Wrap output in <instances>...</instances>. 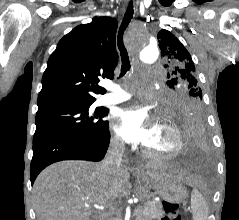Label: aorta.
Segmentation results:
<instances>
[{
	"instance_id": "aorta-1",
	"label": "aorta",
	"mask_w": 239,
	"mask_h": 220,
	"mask_svg": "<svg viewBox=\"0 0 239 220\" xmlns=\"http://www.w3.org/2000/svg\"><path fill=\"white\" fill-rule=\"evenodd\" d=\"M133 38L135 34L132 35ZM135 48H142V53H138L143 63H152L158 58V48L153 45H134Z\"/></svg>"
}]
</instances>
